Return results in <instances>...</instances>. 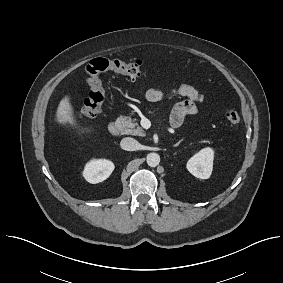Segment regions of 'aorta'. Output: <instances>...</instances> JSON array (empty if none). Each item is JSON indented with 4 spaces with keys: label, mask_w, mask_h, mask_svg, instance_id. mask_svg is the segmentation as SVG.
Listing matches in <instances>:
<instances>
[{
    "label": "aorta",
    "mask_w": 283,
    "mask_h": 283,
    "mask_svg": "<svg viewBox=\"0 0 283 283\" xmlns=\"http://www.w3.org/2000/svg\"><path fill=\"white\" fill-rule=\"evenodd\" d=\"M147 164L150 167H156L160 163V156L157 153H149L146 158Z\"/></svg>",
    "instance_id": "1"
}]
</instances>
